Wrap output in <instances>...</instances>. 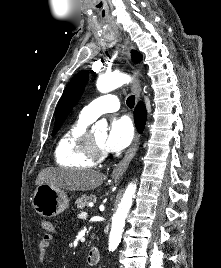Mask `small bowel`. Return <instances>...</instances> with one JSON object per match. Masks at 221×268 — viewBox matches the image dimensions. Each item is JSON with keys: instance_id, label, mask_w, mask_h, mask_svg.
Masks as SVG:
<instances>
[{"instance_id": "obj_1", "label": "small bowel", "mask_w": 221, "mask_h": 268, "mask_svg": "<svg viewBox=\"0 0 221 268\" xmlns=\"http://www.w3.org/2000/svg\"><path fill=\"white\" fill-rule=\"evenodd\" d=\"M54 232V228L52 231L46 232L38 245V265L40 268H45L46 266L45 257L48 248L50 247L51 243L55 238Z\"/></svg>"}]
</instances>
